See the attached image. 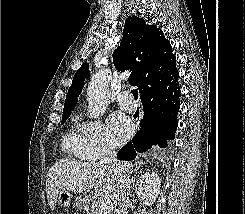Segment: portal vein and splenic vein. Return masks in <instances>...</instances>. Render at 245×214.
I'll return each mask as SVG.
<instances>
[{"instance_id": "portal-vein-and-splenic-vein-1", "label": "portal vein and splenic vein", "mask_w": 245, "mask_h": 214, "mask_svg": "<svg viewBox=\"0 0 245 214\" xmlns=\"http://www.w3.org/2000/svg\"><path fill=\"white\" fill-rule=\"evenodd\" d=\"M110 203H111L110 197L105 196L100 199V204L102 207H108Z\"/></svg>"}]
</instances>
